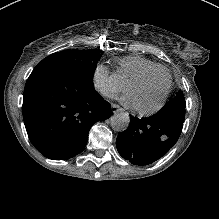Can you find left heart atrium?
I'll return each instance as SVG.
<instances>
[{"mask_svg":"<svg viewBox=\"0 0 219 219\" xmlns=\"http://www.w3.org/2000/svg\"><path fill=\"white\" fill-rule=\"evenodd\" d=\"M121 100L128 106L132 108H136V102L129 94H125L122 96Z\"/></svg>","mask_w":219,"mask_h":219,"instance_id":"left-heart-atrium-1","label":"left heart atrium"}]
</instances>
